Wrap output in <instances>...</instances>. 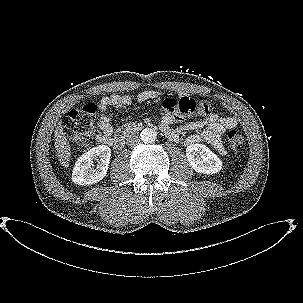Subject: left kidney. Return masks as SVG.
Listing matches in <instances>:
<instances>
[{
    "label": "left kidney",
    "mask_w": 303,
    "mask_h": 303,
    "mask_svg": "<svg viewBox=\"0 0 303 303\" xmlns=\"http://www.w3.org/2000/svg\"><path fill=\"white\" fill-rule=\"evenodd\" d=\"M190 166L198 173L215 174L221 171L222 161L206 145L195 143L186 148Z\"/></svg>",
    "instance_id": "5707ae66"
}]
</instances>
